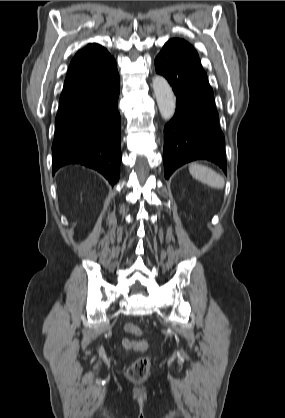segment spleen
Instances as JSON below:
<instances>
[{
    "label": "spleen",
    "instance_id": "1",
    "mask_svg": "<svg viewBox=\"0 0 285 418\" xmlns=\"http://www.w3.org/2000/svg\"><path fill=\"white\" fill-rule=\"evenodd\" d=\"M189 172L195 179L212 188L222 189L225 185L223 177L207 166L192 163L189 166Z\"/></svg>",
    "mask_w": 285,
    "mask_h": 418
}]
</instances>
